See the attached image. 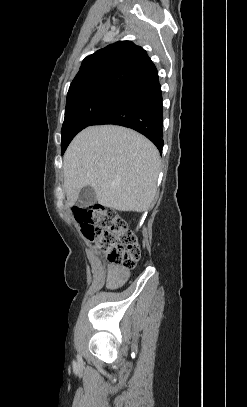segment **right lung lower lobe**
I'll list each match as a JSON object with an SVG mask.
<instances>
[{
	"label": "right lung lower lobe",
	"instance_id": "obj_1",
	"mask_svg": "<svg viewBox=\"0 0 247 407\" xmlns=\"http://www.w3.org/2000/svg\"><path fill=\"white\" fill-rule=\"evenodd\" d=\"M162 122V92L157 78L137 89L119 105L97 119L93 125L115 124L134 129L161 150L164 144Z\"/></svg>",
	"mask_w": 247,
	"mask_h": 407
}]
</instances>
